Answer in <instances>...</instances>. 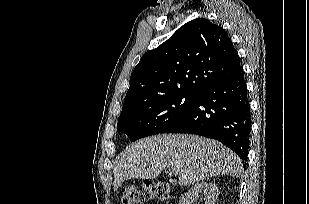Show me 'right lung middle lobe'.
Segmentation results:
<instances>
[{
  "mask_svg": "<svg viewBox=\"0 0 309 204\" xmlns=\"http://www.w3.org/2000/svg\"><path fill=\"white\" fill-rule=\"evenodd\" d=\"M197 98L198 94L177 92L125 103L117 130L130 141L163 133L189 112Z\"/></svg>",
  "mask_w": 309,
  "mask_h": 204,
  "instance_id": "obj_1",
  "label": "right lung middle lobe"
}]
</instances>
